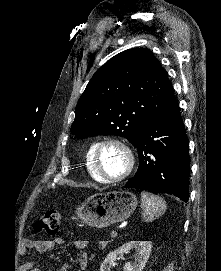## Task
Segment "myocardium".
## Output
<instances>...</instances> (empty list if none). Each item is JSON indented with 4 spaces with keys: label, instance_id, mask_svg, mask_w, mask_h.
<instances>
[{
    "label": "myocardium",
    "instance_id": "1",
    "mask_svg": "<svg viewBox=\"0 0 221 271\" xmlns=\"http://www.w3.org/2000/svg\"><path fill=\"white\" fill-rule=\"evenodd\" d=\"M96 140H99V144L91 145V147L94 149L92 153L95 156H92V159L94 160V169L98 172L97 175H103L104 177L106 175L103 171V163L100 160L103 153L101 150H105L106 147H113L114 150H120V155H123L120 163L125 165V171L117 176L106 177L105 183H122V178H127L133 171V165H136L133 162L134 158L131 157L134 150H127V142H121V140L127 139L118 135H107Z\"/></svg>",
    "mask_w": 221,
    "mask_h": 271
}]
</instances>
